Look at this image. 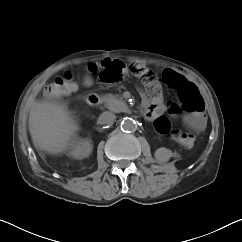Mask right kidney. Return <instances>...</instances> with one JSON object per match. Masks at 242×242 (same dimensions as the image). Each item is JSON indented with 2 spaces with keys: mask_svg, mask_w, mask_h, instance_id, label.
Listing matches in <instances>:
<instances>
[{
  "mask_svg": "<svg viewBox=\"0 0 242 242\" xmlns=\"http://www.w3.org/2000/svg\"><path fill=\"white\" fill-rule=\"evenodd\" d=\"M71 149L70 155L75 159L88 157L93 149L92 141L90 139L77 140Z\"/></svg>",
  "mask_w": 242,
  "mask_h": 242,
  "instance_id": "obj_1",
  "label": "right kidney"
}]
</instances>
